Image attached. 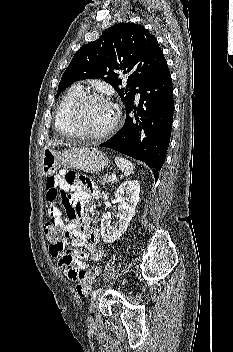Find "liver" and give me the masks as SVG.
Listing matches in <instances>:
<instances>
[{"instance_id":"obj_1","label":"liver","mask_w":233,"mask_h":352,"mask_svg":"<svg viewBox=\"0 0 233 352\" xmlns=\"http://www.w3.org/2000/svg\"><path fill=\"white\" fill-rule=\"evenodd\" d=\"M59 143H48L46 146H45V148H48V147H50L51 145H53V146H56V145H58Z\"/></svg>"}]
</instances>
